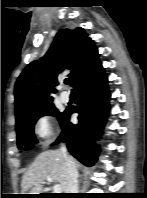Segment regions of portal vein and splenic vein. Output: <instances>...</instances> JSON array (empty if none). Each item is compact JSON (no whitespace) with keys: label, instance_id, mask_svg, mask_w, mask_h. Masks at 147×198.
I'll return each instance as SVG.
<instances>
[{"label":"portal vein and splenic vein","instance_id":"obj_1","mask_svg":"<svg viewBox=\"0 0 147 198\" xmlns=\"http://www.w3.org/2000/svg\"><path fill=\"white\" fill-rule=\"evenodd\" d=\"M46 180L48 182H52V178L51 177L46 178ZM53 193H62V187H61V185H59V184L54 185V187H53Z\"/></svg>","mask_w":147,"mask_h":198}]
</instances>
